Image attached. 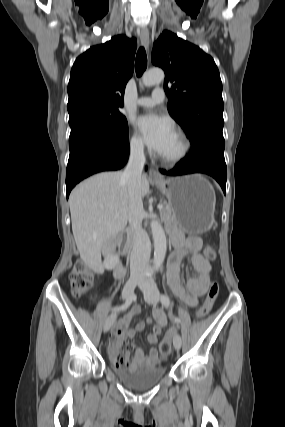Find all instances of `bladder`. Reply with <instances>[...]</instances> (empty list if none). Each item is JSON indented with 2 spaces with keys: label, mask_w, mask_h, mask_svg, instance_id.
I'll list each match as a JSON object with an SVG mask.
<instances>
[{
  "label": "bladder",
  "mask_w": 285,
  "mask_h": 427,
  "mask_svg": "<svg viewBox=\"0 0 285 427\" xmlns=\"http://www.w3.org/2000/svg\"><path fill=\"white\" fill-rule=\"evenodd\" d=\"M116 376L127 386L136 390H146L157 385L165 376L164 366L130 369L125 366H113Z\"/></svg>",
  "instance_id": "bladder-1"
}]
</instances>
